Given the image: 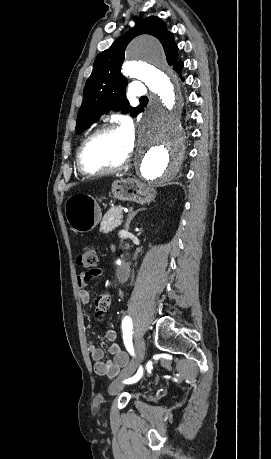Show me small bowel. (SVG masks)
Segmentation results:
<instances>
[{
  "mask_svg": "<svg viewBox=\"0 0 271 459\" xmlns=\"http://www.w3.org/2000/svg\"><path fill=\"white\" fill-rule=\"evenodd\" d=\"M104 270L102 268H95L81 273L78 276L79 299L83 304H88L90 301V294L87 286L90 280L102 277ZM106 339L110 342L109 353L112 356L111 360H106L104 351L97 346L93 341L88 344V351L92 360L94 361V371L100 376L115 378L120 370L127 365L128 355L120 348L116 342L117 333L113 329H108L105 334Z\"/></svg>",
  "mask_w": 271,
  "mask_h": 459,
  "instance_id": "obj_1",
  "label": "small bowel"
}]
</instances>
